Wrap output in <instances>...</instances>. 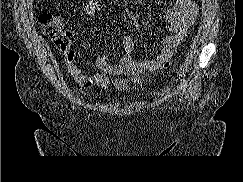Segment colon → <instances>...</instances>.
I'll use <instances>...</instances> for the list:
<instances>
[{
  "label": "colon",
  "instance_id": "obj_1",
  "mask_svg": "<svg viewBox=\"0 0 243 182\" xmlns=\"http://www.w3.org/2000/svg\"><path fill=\"white\" fill-rule=\"evenodd\" d=\"M39 21L42 24L46 34H48L55 42V44L62 50L67 51L68 47L64 42L65 32L62 28L60 18L51 12H44L40 14ZM170 62L163 61V67L167 68Z\"/></svg>",
  "mask_w": 243,
  "mask_h": 182
}]
</instances>
